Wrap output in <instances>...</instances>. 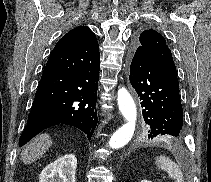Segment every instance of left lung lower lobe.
<instances>
[{
  "mask_svg": "<svg viewBox=\"0 0 211 182\" xmlns=\"http://www.w3.org/2000/svg\"><path fill=\"white\" fill-rule=\"evenodd\" d=\"M130 83L141 100L148 139L178 141L183 136L179 87L143 49L131 54Z\"/></svg>",
  "mask_w": 211,
  "mask_h": 182,
  "instance_id": "1",
  "label": "left lung lower lobe"
}]
</instances>
